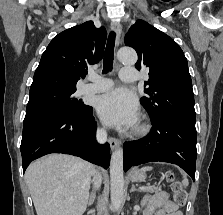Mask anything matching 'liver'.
Returning <instances> with one entry per match:
<instances>
[{
    "label": "liver",
    "mask_w": 223,
    "mask_h": 215,
    "mask_svg": "<svg viewBox=\"0 0 223 215\" xmlns=\"http://www.w3.org/2000/svg\"><path fill=\"white\" fill-rule=\"evenodd\" d=\"M93 171L88 161L62 153L44 155L30 163L25 179L37 215H82Z\"/></svg>",
    "instance_id": "6515ba94"
}]
</instances>
